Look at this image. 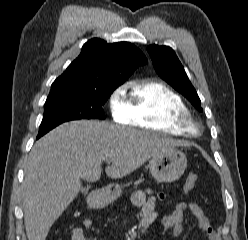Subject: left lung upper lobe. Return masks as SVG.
<instances>
[{"label": "left lung upper lobe", "mask_w": 248, "mask_h": 240, "mask_svg": "<svg viewBox=\"0 0 248 240\" xmlns=\"http://www.w3.org/2000/svg\"><path fill=\"white\" fill-rule=\"evenodd\" d=\"M147 50L157 74L202 111L198 94L174 50L168 46L158 45H150Z\"/></svg>", "instance_id": "left-lung-upper-lobe-1"}]
</instances>
